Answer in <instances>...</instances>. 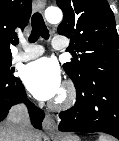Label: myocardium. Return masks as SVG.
<instances>
[{
  "label": "myocardium",
  "mask_w": 119,
  "mask_h": 141,
  "mask_svg": "<svg viewBox=\"0 0 119 141\" xmlns=\"http://www.w3.org/2000/svg\"><path fill=\"white\" fill-rule=\"evenodd\" d=\"M76 100V90L71 82H66L59 95L51 102L53 109L62 110L70 108Z\"/></svg>",
  "instance_id": "f54148a6"
}]
</instances>
